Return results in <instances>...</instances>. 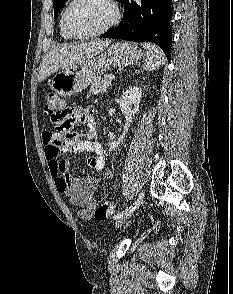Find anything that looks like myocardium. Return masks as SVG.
<instances>
[{"label": "myocardium", "mask_w": 233, "mask_h": 294, "mask_svg": "<svg viewBox=\"0 0 233 294\" xmlns=\"http://www.w3.org/2000/svg\"><path fill=\"white\" fill-rule=\"evenodd\" d=\"M79 0H71L70 3L65 8L63 15H62V24L63 28L66 33L71 36L73 39H90L94 37L101 36L108 32L112 27H114L119 19H120V12L118 5L116 4L115 0H102L111 10V17L109 21L99 30L87 33V34H76L74 33L68 26L67 17L70 9L78 2Z\"/></svg>", "instance_id": "obj_1"}]
</instances>
